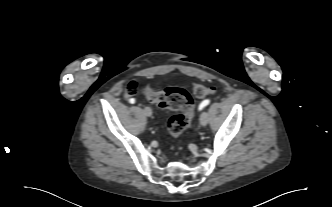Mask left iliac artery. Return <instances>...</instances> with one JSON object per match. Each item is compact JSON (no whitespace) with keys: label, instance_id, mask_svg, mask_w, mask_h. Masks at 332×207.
I'll list each match as a JSON object with an SVG mask.
<instances>
[{"label":"left iliac artery","instance_id":"44dca946","mask_svg":"<svg viewBox=\"0 0 332 207\" xmlns=\"http://www.w3.org/2000/svg\"><path fill=\"white\" fill-rule=\"evenodd\" d=\"M210 103L209 99H206L204 101H202L199 105V110H202L204 107H206L208 104Z\"/></svg>","mask_w":332,"mask_h":207}]
</instances>
